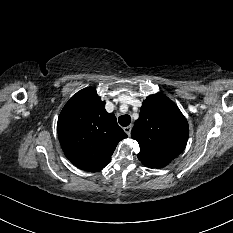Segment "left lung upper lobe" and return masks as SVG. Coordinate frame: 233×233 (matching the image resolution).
I'll return each mask as SVG.
<instances>
[{
    "label": "left lung upper lobe",
    "instance_id": "1",
    "mask_svg": "<svg viewBox=\"0 0 233 233\" xmlns=\"http://www.w3.org/2000/svg\"><path fill=\"white\" fill-rule=\"evenodd\" d=\"M189 135L186 118L179 108L162 93L143 101L139 118L131 132L140 146L137 155L143 165L163 168L185 148Z\"/></svg>",
    "mask_w": 233,
    "mask_h": 233
}]
</instances>
